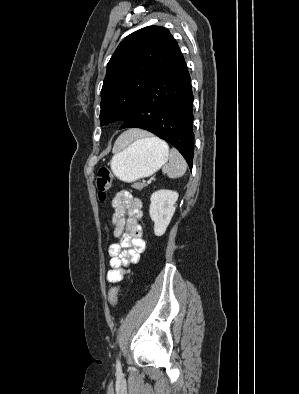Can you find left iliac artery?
Segmentation results:
<instances>
[{
  "label": "left iliac artery",
  "mask_w": 299,
  "mask_h": 394,
  "mask_svg": "<svg viewBox=\"0 0 299 394\" xmlns=\"http://www.w3.org/2000/svg\"><path fill=\"white\" fill-rule=\"evenodd\" d=\"M116 367H117L118 370L121 369V363H120L119 359H117V361H116Z\"/></svg>",
  "instance_id": "1"
}]
</instances>
